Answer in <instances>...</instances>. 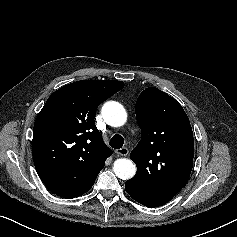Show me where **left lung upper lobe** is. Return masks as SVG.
Returning a JSON list of instances; mask_svg holds the SVG:
<instances>
[{"label": "left lung upper lobe", "instance_id": "obj_1", "mask_svg": "<svg viewBox=\"0 0 237 237\" xmlns=\"http://www.w3.org/2000/svg\"><path fill=\"white\" fill-rule=\"evenodd\" d=\"M136 117L142 134L130 154L137 165L130 179V196L154 208L170 201L186 185L193 166V132L183 107L157 88L140 94Z\"/></svg>", "mask_w": 237, "mask_h": 237}]
</instances>
